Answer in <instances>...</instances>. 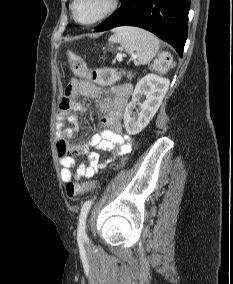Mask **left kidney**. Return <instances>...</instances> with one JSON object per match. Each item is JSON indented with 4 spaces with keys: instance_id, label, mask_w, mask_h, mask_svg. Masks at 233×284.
Masks as SVG:
<instances>
[{
    "instance_id": "left-kidney-1",
    "label": "left kidney",
    "mask_w": 233,
    "mask_h": 284,
    "mask_svg": "<svg viewBox=\"0 0 233 284\" xmlns=\"http://www.w3.org/2000/svg\"><path fill=\"white\" fill-rule=\"evenodd\" d=\"M169 84V79L153 73L140 79L133 91L132 101L124 112V126L128 134L136 135L149 124L159 109ZM136 105L138 109L134 113Z\"/></svg>"
}]
</instances>
